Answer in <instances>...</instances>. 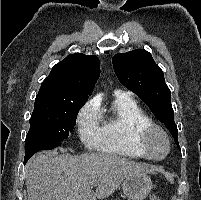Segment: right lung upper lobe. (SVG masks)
I'll return each instance as SVG.
<instances>
[{"mask_svg": "<svg viewBox=\"0 0 201 200\" xmlns=\"http://www.w3.org/2000/svg\"><path fill=\"white\" fill-rule=\"evenodd\" d=\"M100 75L97 56L76 53L56 64L42 82L38 96L57 99H87Z\"/></svg>", "mask_w": 201, "mask_h": 200, "instance_id": "cb5924a9", "label": "right lung upper lobe"}]
</instances>
